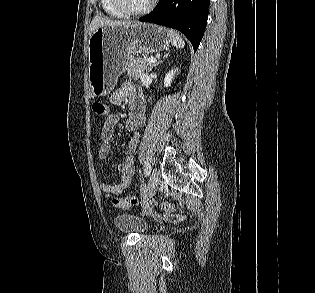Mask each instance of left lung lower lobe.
Segmentation results:
<instances>
[{
	"instance_id": "obj_1",
	"label": "left lung lower lobe",
	"mask_w": 315,
	"mask_h": 293,
	"mask_svg": "<svg viewBox=\"0 0 315 293\" xmlns=\"http://www.w3.org/2000/svg\"><path fill=\"white\" fill-rule=\"evenodd\" d=\"M210 0H159L152 12L139 19L182 32L196 51L204 35Z\"/></svg>"
}]
</instances>
